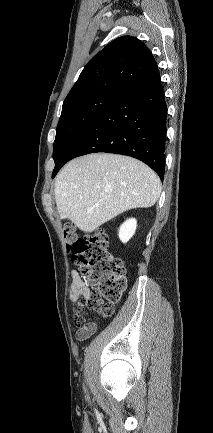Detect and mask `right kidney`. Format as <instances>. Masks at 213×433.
I'll return each mask as SVG.
<instances>
[{
	"label": "right kidney",
	"mask_w": 213,
	"mask_h": 433,
	"mask_svg": "<svg viewBox=\"0 0 213 433\" xmlns=\"http://www.w3.org/2000/svg\"><path fill=\"white\" fill-rule=\"evenodd\" d=\"M137 221L134 218L126 220L119 229V238L123 243H127L134 235Z\"/></svg>",
	"instance_id": "ca27d5eb"
}]
</instances>
